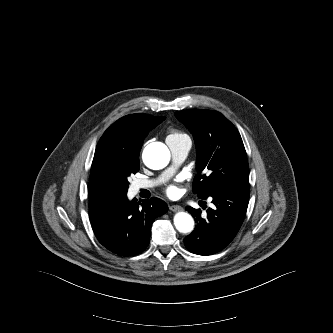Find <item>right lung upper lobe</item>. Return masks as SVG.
<instances>
[{
    "label": "right lung upper lobe",
    "instance_id": "cb5924a9",
    "mask_svg": "<svg viewBox=\"0 0 333 333\" xmlns=\"http://www.w3.org/2000/svg\"><path fill=\"white\" fill-rule=\"evenodd\" d=\"M165 117L131 114L110 126L98 142L94 154L91 176V200L119 197V161L128 155H139L144 138Z\"/></svg>",
    "mask_w": 333,
    "mask_h": 333
}]
</instances>
